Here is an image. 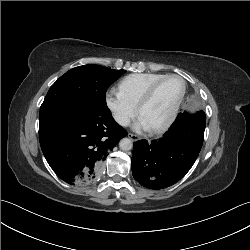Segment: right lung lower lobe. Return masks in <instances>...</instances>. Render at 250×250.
<instances>
[{
  "mask_svg": "<svg viewBox=\"0 0 250 250\" xmlns=\"http://www.w3.org/2000/svg\"><path fill=\"white\" fill-rule=\"evenodd\" d=\"M39 140L54 172L68 184H90L109 151L127 135L107 107L70 105L39 119Z\"/></svg>",
  "mask_w": 250,
  "mask_h": 250,
  "instance_id": "right-lung-lower-lobe-1",
  "label": "right lung lower lobe"
}]
</instances>
